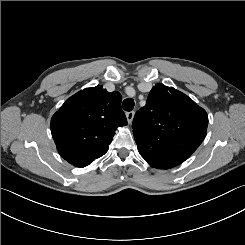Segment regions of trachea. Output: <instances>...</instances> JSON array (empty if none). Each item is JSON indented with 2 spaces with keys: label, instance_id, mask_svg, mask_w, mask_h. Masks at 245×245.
I'll return each instance as SVG.
<instances>
[{
  "label": "trachea",
  "instance_id": "1",
  "mask_svg": "<svg viewBox=\"0 0 245 245\" xmlns=\"http://www.w3.org/2000/svg\"><path fill=\"white\" fill-rule=\"evenodd\" d=\"M134 108V100L132 98H127L123 101V109L126 111H131Z\"/></svg>",
  "mask_w": 245,
  "mask_h": 245
}]
</instances>
